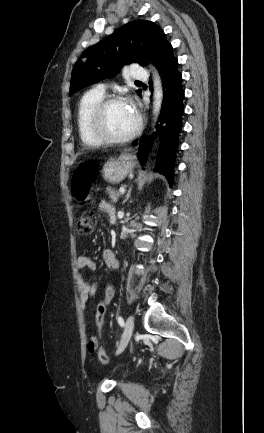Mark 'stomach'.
Wrapping results in <instances>:
<instances>
[{
    "mask_svg": "<svg viewBox=\"0 0 264 433\" xmlns=\"http://www.w3.org/2000/svg\"><path fill=\"white\" fill-rule=\"evenodd\" d=\"M135 164V157L128 152H123L118 159L111 158L104 164L103 178L108 183L118 184L132 173Z\"/></svg>",
    "mask_w": 264,
    "mask_h": 433,
    "instance_id": "obj_1",
    "label": "stomach"
}]
</instances>
